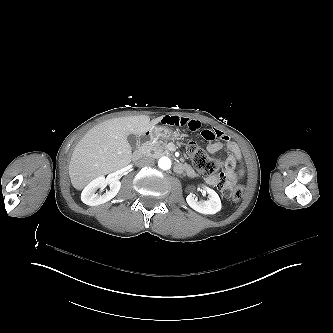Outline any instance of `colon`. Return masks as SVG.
I'll use <instances>...</instances> for the list:
<instances>
[{
	"instance_id": "obj_1",
	"label": "colon",
	"mask_w": 333,
	"mask_h": 333,
	"mask_svg": "<svg viewBox=\"0 0 333 333\" xmlns=\"http://www.w3.org/2000/svg\"><path fill=\"white\" fill-rule=\"evenodd\" d=\"M186 150L194 166L201 173L212 176L222 168V162L210 157L196 142H187ZM237 179L238 171L232 170L221 176L216 183L224 197L235 202L240 201L244 193L243 187L237 184Z\"/></svg>"
}]
</instances>
